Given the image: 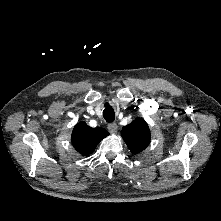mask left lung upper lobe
<instances>
[{
    "instance_id": "left-lung-upper-lobe-1",
    "label": "left lung upper lobe",
    "mask_w": 221,
    "mask_h": 221,
    "mask_svg": "<svg viewBox=\"0 0 221 221\" xmlns=\"http://www.w3.org/2000/svg\"><path fill=\"white\" fill-rule=\"evenodd\" d=\"M121 134L130 151L134 154L142 152L150 143L148 124L141 118H137L123 127Z\"/></svg>"
}]
</instances>
